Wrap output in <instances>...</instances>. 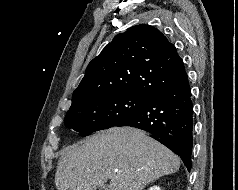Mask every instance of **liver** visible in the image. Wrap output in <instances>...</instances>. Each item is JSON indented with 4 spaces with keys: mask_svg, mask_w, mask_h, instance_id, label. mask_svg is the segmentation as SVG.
Here are the masks:
<instances>
[{
    "mask_svg": "<svg viewBox=\"0 0 238 190\" xmlns=\"http://www.w3.org/2000/svg\"><path fill=\"white\" fill-rule=\"evenodd\" d=\"M179 167L178 156L144 131L113 127L66 148L55 184L57 190H96L110 180L109 190H143Z\"/></svg>",
    "mask_w": 238,
    "mask_h": 190,
    "instance_id": "obj_1",
    "label": "liver"
}]
</instances>
